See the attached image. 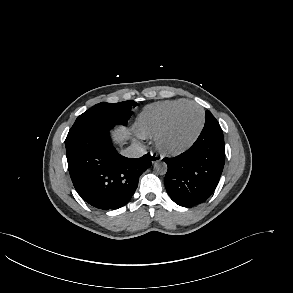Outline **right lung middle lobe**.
<instances>
[{"mask_svg": "<svg viewBox=\"0 0 293 293\" xmlns=\"http://www.w3.org/2000/svg\"><path fill=\"white\" fill-rule=\"evenodd\" d=\"M137 106L133 100L110 104L102 102L96 104L81 114L69 130L65 145L72 140L92 131L115 125H126L132 115L131 107Z\"/></svg>", "mask_w": 293, "mask_h": 293, "instance_id": "right-lung-middle-lobe-1", "label": "right lung middle lobe"}]
</instances>
